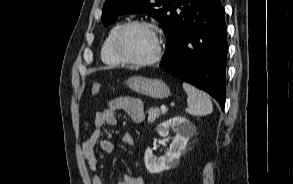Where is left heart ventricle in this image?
Segmentation results:
<instances>
[{"instance_id":"b2bd125f","label":"left heart ventricle","mask_w":293,"mask_h":184,"mask_svg":"<svg viewBox=\"0 0 293 184\" xmlns=\"http://www.w3.org/2000/svg\"><path fill=\"white\" fill-rule=\"evenodd\" d=\"M119 47L128 58L143 60L151 57L156 50L152 32L140 26L129 28L121 37Z\"/></svg>"}]
</instances>
